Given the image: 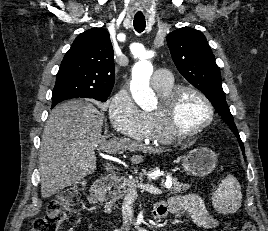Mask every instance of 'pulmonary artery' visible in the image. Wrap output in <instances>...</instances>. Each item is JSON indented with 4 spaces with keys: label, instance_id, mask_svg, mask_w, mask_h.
Returning <instances> with one entry per match:
<instances>
[{
    "label": "pulmonary artery",
    "instance_id": "pulmonary-artery-1",
    "mask_svg": "<svg viewBox=\"0 0 268 231\" xmlns=\"http://www.w3.org/2000/svg\"><path fill=\"white\" fill-rule=\"evenodd\" d=\"M172 81L170 76V72L168 69L160 68L156 70L151 77V84L153 86H158L162 84H166Z\"/></svg>",
    "mask_w": 268,
    "mask_h": 231
}]
</instances>
